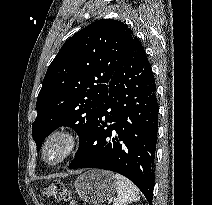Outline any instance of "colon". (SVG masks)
I'll return each instance as SVG.
<instances>
[{
    "label": "colon",
    "mask_w": 212,
    "mask_h": 205,
    "mask_svg": "<svg viewBox=\"0 0 212 205\" xmlns=\"http://www.w3.org/2000/svg\"><path fill=\"white\" fill-rule=\"evenodd\" d=\"M44 195L56 201H68L71 205H78L71 196L68 187L62 182H53L44 190Z\"/></svg>",
    "instance_id": "obj_1"
}]
</instances>
